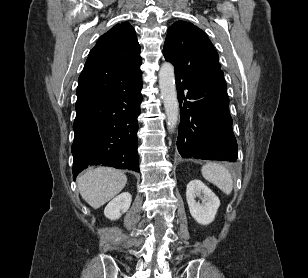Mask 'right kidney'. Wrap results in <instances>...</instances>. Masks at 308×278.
I'll use <instances>...</instances> for the list:
<instances>
[{"label": "right kidney", "instance_id": "obj_1", "mask_svg": "<svg viewBox=\"0 0 308 278\" xmlns=\"http://www.w3.org/2000/svg\"><path fill=\"white\" fill-rule=\"evenodd\" d=\"M132 196L128 192L121 193L111 200L104 209V215L110 220H117L129 209Z\"/></svg>", "mask_w": 308, "mask_h": 278}]
</instances>
